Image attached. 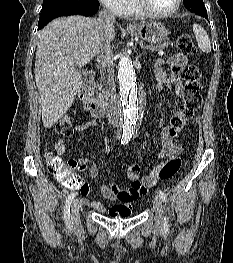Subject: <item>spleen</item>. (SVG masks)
<instances>
[{
  "instance_id": "spleen-1",
  "label": "spleen",
  "mask_w": 233,
  "mask_h": 263,
  "mask_svg": "<svg viewBox=\"0 0 233 263\" xmlns=\"http://www.w3.org/2000/svg\"><path fill=\"white\" fill-rule=\"evenodd\" d=\"M193 32L196 36V40L198 42L199 48L204 53H210L211 52V43L209 40V36L207 35V32L204 30L202 26L199 24L193 25Z\"/></svg>"
}]
</instances>
